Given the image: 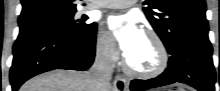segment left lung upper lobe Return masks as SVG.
Returning <instances> with one entry per match:
<instances>
[{
    "mask_svg": "<svg viewBox=\"0 0 220 91\" xmlns=\"http://www.w3.org/2000/svg\"><path fill=\"white\" fill-rule=\"evenodd\" d=\"M144 12L168 53L184 41H208L204 0H145Z\"/></svg>",
    "mask_w": 220,
    "mask_h": 91,
    "instance_id": "5c2ea615",
    "label": "left lung upper lobe"
}]
</instances>
